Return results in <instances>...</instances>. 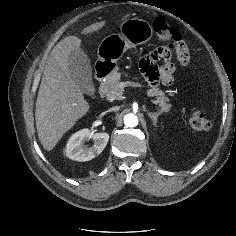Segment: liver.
<instances>
[{
	"instance_id": "obj_1",
	"label": "liver",
	"mask_w": 236,
	"mask_h": 236,
	"mask_svg": "<svg viewBox=\"0 0 236 236\" xmlns=\"http://www.w3.org/2000/svg\"><path fill=\"white\" fill-rule=\"evenodd\" d=\"M105 22L94 23L82 34L97 32ZM81 40L76 36L62 39L52 49L44 69L36 100L35 120L43 148L51 151L63 135L87 114L89 103L68 71L69 57L80 50Z\"/></svg>"
}]
</instances>
